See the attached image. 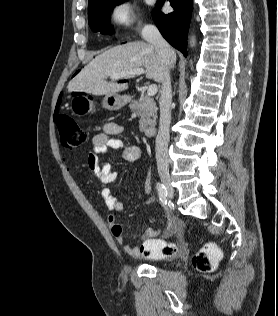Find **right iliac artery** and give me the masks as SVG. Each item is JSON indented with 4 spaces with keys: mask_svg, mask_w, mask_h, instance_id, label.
<instances>
[{
    "mask_svg": "<svg viewBox=\"0 0 278 316\" xmlns=\"http://www.w3.org/2000/svg\"><path fill=\"white\" fill-rule=\"evenodd\" d=\"M156 188H157L159 200H160L162 206L166 210H168V208H167V196H168V194H167V190H166L165 186L158 182L156 185ZM169 226H170V223H169L168 227Z\"/></svg>",
    "mask_w": 278,
    "mask_h": 316,
    "instance_id": "obj_1",
    "label": "right iliac artery"
}]
</instances>
